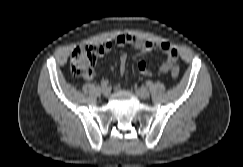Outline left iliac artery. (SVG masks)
I'll return each instance as SVG.
<instances>
[{
	"mask_svg": "<svg viewBox=\"0 0 243 167\" xmlns=\"http://www.w3.org/2000/svg\"><path fill=\"white\" fill-rule=\"evenodd\" d=\"M146 84H147V86H151L153 83H152V81L149 80L146 82Z\"/></svg>",
	"mask_w": 243,
	"mask_h": 167,
	"instance_id": "44dca946",
	"label": "left iliac artery"
}]
</instances>
